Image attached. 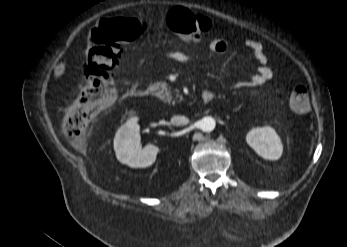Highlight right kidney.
Returning <instances> with one entry per match:
<instances>
[{
	"instance_id": "obj_1",
	"label": "right kidney",
	"mask_w": 347,
	"mask_h": 247,
	"mask_svg": "<svg viewBox=\"0 0 347 247\" xmlns=\"http://www.w3.org/2000/svg\"><path fill=\"white\" fill-rule=\"evenodd\" d=\"M137 120V117L131 118L118 129L114 137V150L121 163L132 168H146L155 162L159 148L152 144L141 148Z\"/></svg>"
}]
</instances>
